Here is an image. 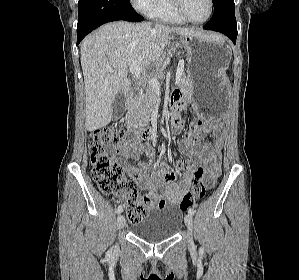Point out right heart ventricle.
<instances>
[{
	"instance_id": "e07e8e85",
	"label": "right heart ventricle",
	"mask_w": 299,
	"mask_h": 280,
	"mask_svg": "<svg viewBox=\"0 0 299 280\" xmlns=\"http://www.w3.org/2000/svg\"><path fill=\"white\" fill-rule=\"evenodd\" d=\"M148 15L156 20L170 24H183L181 19L173 10L170 0H156Z\"/></svg>"
}]
</instances>
